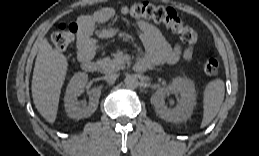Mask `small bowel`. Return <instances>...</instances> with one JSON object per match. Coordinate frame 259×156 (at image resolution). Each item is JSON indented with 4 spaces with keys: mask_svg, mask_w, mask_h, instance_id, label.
Instances as JSON below:
<instances>
[{
    "mask_svg": "<svg viewBox=\"0 0 259 156\" xmlns=\"http://www.w3.org/2000/svg\"><path fill=\"white\" fill-rule=\"evenodd\" d=\"M115 14L112 7H103L92 13L79 17L78 49L82 56L91 55L96 49V37L108 36L113 32L104 29L102 24ZM139 37L145 48V55L140 62L149 67L163 63L173 64L179 60L189 61L194 56V47L183 48L181 45H170L162 33L151 23L138 20Z\"/></svg>",
    "mask_w": 259,
    "mask_h": 156,
    "instance_id": "obj_1",
    "label": "small bowel"
}]
</instances>
